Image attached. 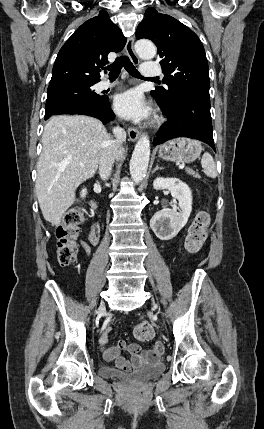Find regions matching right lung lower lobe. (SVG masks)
I'll use <instances>...</instances> for the list:
<instances>
[{"label": "right lung lower lobe", "mask_w": 264, "mask_h": 429, "mask_svg": "<svg viewBox=\"0 0 264 429\" xmlns=\"http://www.w3.org/2000/svg\"><path fill=\"white\" fill-rule=\"evenodd\" d=\"M59 114L88 115L101 120L103 124H106L109 121H112L115 117L113 111L111 110V106L108 99H104V98L100 104H93V103H87V102L72 103L58 110L51 116L59 115Z\"/></svg>", "instance_id": "1"}]
</instances>
